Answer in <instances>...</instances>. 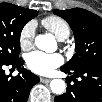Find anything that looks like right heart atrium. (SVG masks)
Segmentation results:
<instances>
[{
	"instance_id": "d8ad5b80",
	"label": "right heart atrium",
	"mask_w": 102,
	"mask_h": 102,
	"mask_svg": "<svg viewBox=\"0 0 102 102\" xmlns=\"http://www.w3.org/2000/svg\"><path fill=\"white\" fill-rule=\"evenodd\" d=\"M35 37V23L33 21L27 22L20 31L19 41L24 49H29L33 45Z\"/></svg>"
}]
</instances>
